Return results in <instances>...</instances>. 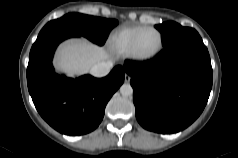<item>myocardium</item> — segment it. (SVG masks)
Here are the masks:
<instances>
[{"instance_id":"obj_1","label":"myocardium","mask_w":238,"mask_h":158,"mask_svg":"<svg viewBox=\"0 0 238 158\" xmlns=\"http://www.w3.org/2000/svg\"><path fill=\"white\" fill-rule=\"evenodd\" d=\"M148 30H153L158 34L159 43L157 48L152 53L143 55L138 52L137 45L141 35ZM162 47H163V36L161 31L155 27L146 26L142 28L139 32H137L136 35L134 36L128 54L132 59L136 61H149L155 58L161 52Z\"/></svg>"}]
</instances>
